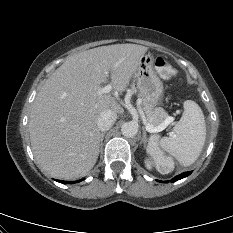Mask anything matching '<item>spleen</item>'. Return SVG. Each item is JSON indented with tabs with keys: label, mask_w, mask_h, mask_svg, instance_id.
Instances as JSON below:
<instances>
[{
	"label": "spleen",
	"mask_w": 233,
	"mask_h": 233,
	"mask_svg": "<svg viewBox=\"0 0 233 233\" xmlns=\"http://www.w3.org/2000/svg\"><path fill=\"white\" fill-rule=\"evenodd\" d=\"M184 112L173 128V135L162 137L158 142L150 138L147 152L152 156L161 174L172 171L174 163L163 151L177 159L183 166L192 165L201 154L206 139V124L199 105L191 100L184 102Z\"/></svg>",
	"instance_id": "spleen-1"
}]
</instances>
